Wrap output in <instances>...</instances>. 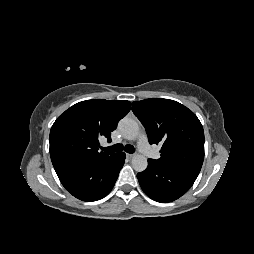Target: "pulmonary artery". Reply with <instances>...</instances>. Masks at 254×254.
I'll return each mask as SVG.
<instances>
[{"label":"pulmonary artery","instance_id":"e3ab8cb5","mask_svg":"<svg viewBox=\"0 0 254 254\" xmlns=\"http://www.w3.org/2000/svg\"><path fill=\"white\" fill-rule=\"evenodd\" d=\"M138 149L145 155L151 157H158V153L154 151L148 143L147 137L144 133L140 134L138 142Z\"/></svg>","mask_w":254,"mask_h":254}]
</instances>
